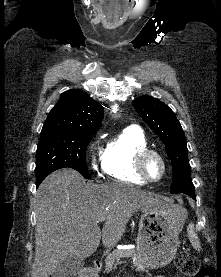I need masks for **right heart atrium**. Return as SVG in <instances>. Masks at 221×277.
I'll return each instance as SVG.
<instances>
[{
  "instance_id": "right-heart-atrium-1",
  "label": "right heart atrium",
  "mask_w": 221,
  "mask_h": 277,
  "mask_svg": "<svg viewBox=\"0 0 221 277\" xmlns=\"http://www.w3.org/2000/svg\"><path fill=\"white\" fill-rule=\"evenodd\" d=\"M101 158V152H98V158L97 156L93 155L91 159V165L94 169H97V160Z\"/></svg>"
}]
</instances>
